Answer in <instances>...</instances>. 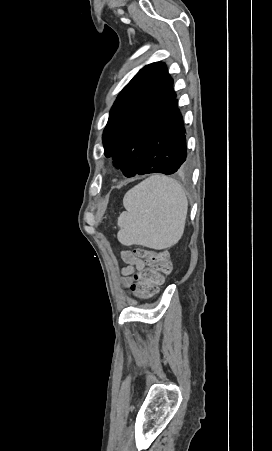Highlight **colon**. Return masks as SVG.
Masks as SVG:
<instances>
[{"label": "colon", "mask_w": 272, "mask_h": 451, "mask_svg": "<svg viewBox=\"0 0 272 451\" xmlns=\"http://www.w3.org/2000/svg\"><path fill=\"white\" fill-rule=\"evenodd\" d=\"M132 258H144L150 267L135 271L129 293L138 298H147L156 293L163 282L164 275L172 270L168 252L164 250L132 249Z\"/></svg>", "instance_id": "1"}]
</instances>
